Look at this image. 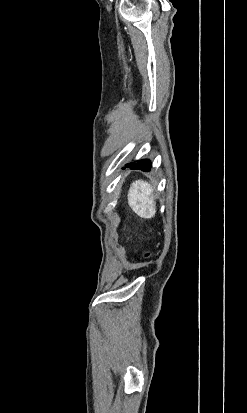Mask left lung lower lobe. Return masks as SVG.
<instances>
[{
  "mask_svg": "<svg viewBox=\"0 0 247 413\" xmlns=\"http://www.w3.org/2000/svg\"><path fill=\"white\" fill-rule=\"evenodd\" d=\"M126 167H129L132 170L140 169L147 172L151 168V162L149 160H140L138 161V163H129L126 165Z\"/></svg>",
  "mask_w": 247,
  "mask_h": 413,
  "instance_id": "1",
  "label": "left lung lower lobe"
}]
</instances>
